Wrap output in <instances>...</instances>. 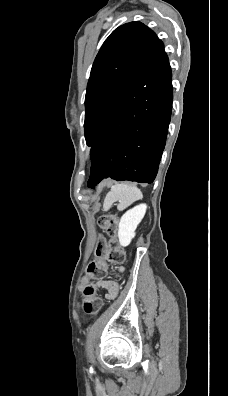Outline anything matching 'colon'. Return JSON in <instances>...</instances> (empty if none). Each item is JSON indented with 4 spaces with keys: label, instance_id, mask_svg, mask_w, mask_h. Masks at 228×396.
I'll return each instance as SVG.
<instances>
[{
    "label": "colon",
    "instance_id": "obj_1",
    "mask_svg": "<svg viewBox=\"0 0 228 396\" xmlns=\"http://www.w3.org/2000/svg\"><path fill=\"white\" fill-rule=\"evenodd\" d=\"M99 227L110 236V241L106 245L100 239L96 248V259L90 262L86 268L85 276L82 282L81 290L83 301L81 304L82 311L85 314H97L103 305L102 299L96 293V289L90 280L101 279L106 274V261L111 263H121L124 258V252L119 247L116 240L118 228L117 217L113 214L101 215L98 219Z\"/></svg>",
    "mask_w": 228,
    "mask_h": 396
}]
</instances>
